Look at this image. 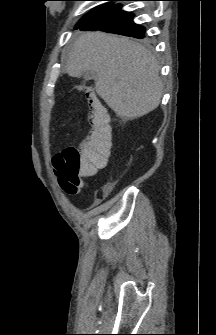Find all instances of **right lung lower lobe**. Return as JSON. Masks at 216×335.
<instances>
[{"label":"right lung lower lobe","mask_w":216,"mask_h":335,"mask_svg":"<svg viewBox=\"0 0 216 335\" xmlns=\"http://www.w3.org/2000/svg\"><path fill=\"white\" fill-rule=\"evenodd\" d=\"M133 16L130 12L122 11L121 5L117 4L79 28L81 30H101L142 39L145 28L135 24Z\"/></svg>","instance_id":"obj_1"}]
</instances>
